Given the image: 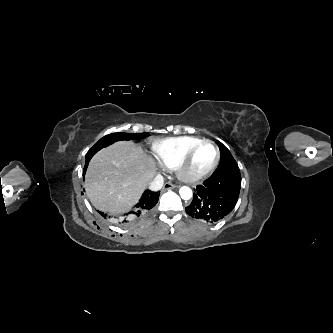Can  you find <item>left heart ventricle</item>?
I'll return each mask as SVG.
<instances>
[{
    "mask_svg": "<svg viewBox=\"0 0 333 333\" xmlns=\"http://www.w3.org/2000/svg\"><path fill=\"white\" fill-rule=\"evenodd\" d=\"M215 159L216 149L210 144H205L196 151L188 165L187 171L190 174L203 172L213 164Z\"/></svg>",
    "mask_w": 333,
    "mask_h": 333,
    "instance_id": "b2bd125f",
    "label": "left heart ventricle"
}]
</instances>
